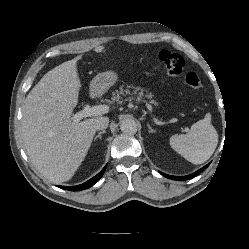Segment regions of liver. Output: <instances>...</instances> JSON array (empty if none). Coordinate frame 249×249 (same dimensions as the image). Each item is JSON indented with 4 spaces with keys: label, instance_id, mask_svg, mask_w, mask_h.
<instances>
[{
    "label": "liver",
    "instance_id": "obj_1",
    "mask_svg": "<svg viewBox=\"0 0 249 249\" xmlns=\"http://www.w3.org/2000/svg\"><path fill=\"white\" fill-rule=\"evenodd\" d=\"M78 57L47 72L25 99L22 138L35 168L49 181L71 179L91 146L98 117L74 123L81 81Z\"/></svg>",
    "mask_w": 249,
    "mask_h": 249
}]
</instances>
